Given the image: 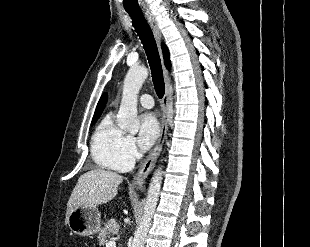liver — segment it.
Segmentation results:
<instances>
[{"mask_svg":"<svg viewBox=\"0 0 310 247\" xmlns=\"http://www.w3.org/2000/svg\"><path fill=\"white\" fill-rule=\"evenodd\" d=\"M123 177L115 172L92 169L78 179L67 203L66 219L71 211L79 206H96L112 200Z\"/></svg>","mask_w":310,"mask_h":247,"instance_id":"liver-1","label":"liver"}]
</instances>
